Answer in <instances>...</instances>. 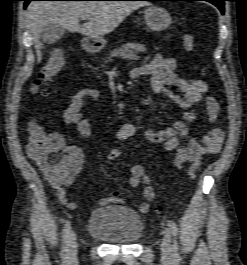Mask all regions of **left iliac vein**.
I'll return each mask as SVG.
<instances>
[{
    "mask_svg": "<svg viewBox=\"0 0 247 265\" xmlns=\"http://www.w3.org/2000/svg\"><path fill=\"white\" fill-rule=\"evenodd\" d=\"M164 236L161 243V252L164 258H170L172 255L171 250V232L166 229L164 230Z\"/></svg>",
    "mask_w": 247,
    "mask_h": 265,
    "instance_id": "4c4485c4",
    "label": "left iliac vein"
}]
</instances>
